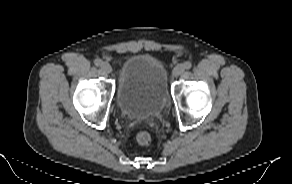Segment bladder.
I'll list each match as a JSON object with an SVG mask.
<instances>
[{"label": "bladder", "instance_id": "31cf9c89", "mask_svg": "<svg viewBox=\"0 0 292 184\" xmlns=\"http://www.w3.org/2000/svg\"><path fill=\"white\" fill-rule=\"evenodd\" d=\"M169 101L168 74L157 58L134 54L121 65L117 104L121 113L129 118H157Z\"/></svg>", "mask_w": 292, "mask_h": 184}]
</instances>
